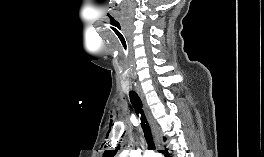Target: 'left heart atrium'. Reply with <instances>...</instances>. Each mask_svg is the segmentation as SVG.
<instances>
[{"label":"left heart atrium","instance_id":"left-heart-atrium-1","mask_svg":"<svg viewBox=\"0 0 264 157\" xmlns=\"http://www.w3.org/2000/svg\"><path fill=\"white\" fill-rule=\"evenodd\" d=\"M148 157H156V156L152 154L151 156H148Z\"/></svg>","mask_w":264,"mask_h":157}]
</instances>
